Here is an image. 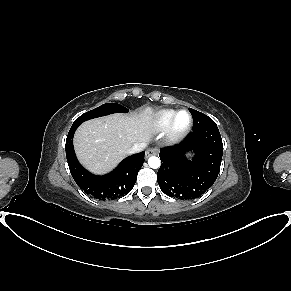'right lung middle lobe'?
Instances as JSON below:
<instances>
[{"mask_svg": "<svg viewBox=\"0 0 291 291\" xmlns=\"http://www.w3.org/2000/svg\"><path fill=\"white\" fill-rule=\"evenodd\" d=\"M129 110L127 108H125L124 106L120 105V104H116V103H106L103 104L89 112H86L84 114H82L80 117H78L72 126H79L82 122L92 119V118H96V117H100V116H105V115H109L112 113H127Z\"/></svg>", "mask_w": 291, "mask_h": 291, "instance_id": "right-lung-middle-lobe-1", "label": "right lung middle lobe"}]
</instances>
